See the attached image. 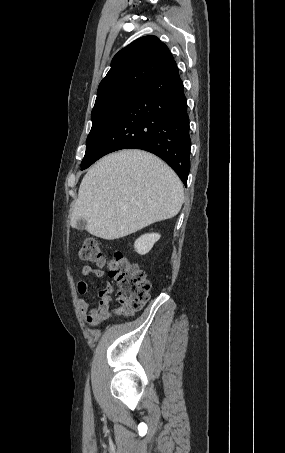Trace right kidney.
I'll list each match as a JSON object with an SVG mask.
<instances>
[{
    "mask_svg": "<svg viewBox=\"0 0 285 453\" xmlns=\"http://www.w3.org/2000/svg\"><path fill=\"white\" fill-rule=\"evenodd\" d=\"M159 239L160 235L158 233L144 234L135 241V251L140 255H145Z\"/></svg>",
    "mask_w": 285,
    "mask_h": 453,
    "instance_id": "1",
    "label": "right kidney"
}]
</instances>
